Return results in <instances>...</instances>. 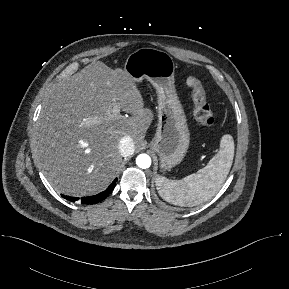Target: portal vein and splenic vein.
Returning <instances> with one entry per match:
<instances>
[{"instance_id": "obj_1", "label": "portal vein and splenic vein", "mask_w": 289, "mask_h": 289, "mask_svg": "<svg viewBox=\"0 0 289 289\" xmlns=\"http://www.w3.org/2000/svg\"><path fill=\"white\" fill-rule=\"evenodd\" d=\"M111 113L113 115H117L118 113H120V108L118 106H114L111 110Z\"/></svg>"}]
</instances>
